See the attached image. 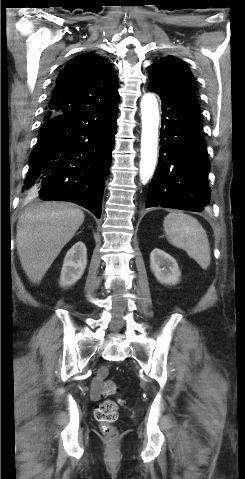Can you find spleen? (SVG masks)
Listing matches in <instances>:
<instances>
[{
    "label": "spleen",
    "mask_w": 245,
    "mask_h": 479,
    "mask_svg": "<svg viewBox=\"0 0 245 479\" xmlns=\"http://www.w3.org/2000/svg\"><path fill=\"white\" fill-rule=\"evenodd\" d=\"M163 227L172 245L185 250L202 269L209 267L211 257L208 236L196 218L174 211L164 218Z\"/></svg>",
    "instance_id": "3e777b00"
}]
</instances>
